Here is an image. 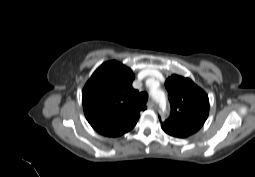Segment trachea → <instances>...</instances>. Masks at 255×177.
Listing matches in <instances>:
<instances>
[{
	"instance_id": "obj_1",
	"label": "trachea",
	"mask_w": 255,
	"mask_h": 177,
	"mask_svg": "<svg viewBox=\"0 0 255 177\" xmlns=\"http://www.w3.org/2000/svg\"><path fill=\"white\" fill-rule=\"evenodd\" d=\"M137 100H138V102L145 104L148 101L147 92L139 93V95L137 96Z\"/></svg>"
}]
</instances>
